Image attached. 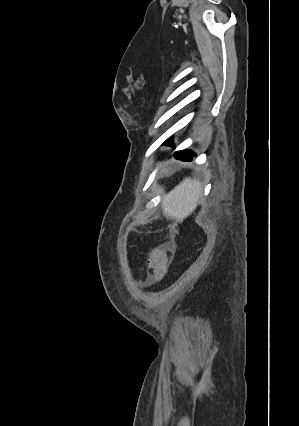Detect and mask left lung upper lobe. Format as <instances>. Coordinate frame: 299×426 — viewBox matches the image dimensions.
Returning a JSON list of instances; mask_svg holds the SVG:
<instances>
[{"mask_svg":"<svg viewBox=\"0 0 299 426\" xmlns=\"http://www.w3.org/2000/svg\"><path fill=\"white\" fill-rule=\"evenodd\" d=\"M164 145H166V146H172V145H173V144H172V140L170 139V140L166 141V142L164 143Z\"/></svg>","mask_w":299,"mask_h":426,"instance_id":"1","label":"left lung upper lobe"}]
</instances>
